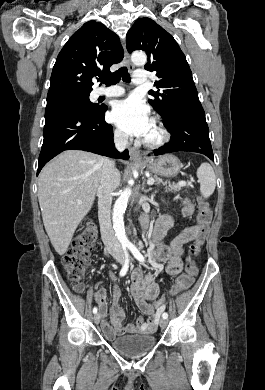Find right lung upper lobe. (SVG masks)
Masks as SVG:
<instances>
[{
	"mask_svg": "<svg viewBox=\"0 0 265 390\" xmlns=\"http://www.w3.org/2000/svg\"><path fill=\"white\" fill-rule=\"evenodd\" d=\"M124 56L119 37L102 23L86 22L66 42L54 64L47 100L89 94L92 79L110 74Z\"/></svg>",
	"mask_w": 265,
	"mask_h": 390,
	"instance_id": "right-lung-upper-lobe-1",
	"label": "right lung upper lobe"
}]
</instances>
